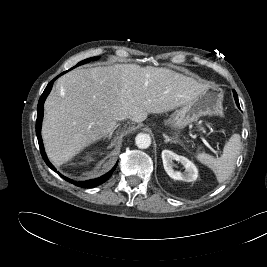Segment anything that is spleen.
<instances>
[{
  "label": "spleen",
  "instance_id": "1",
  "mask_svg": "<svg viewBox=\"0 0 267 267\" xmlns=\"http://www.w3.org/2000/svg\"><path fill=\"white\" fill-rule=\"evenodd\" d=\"M241 146L240 135L233 134L225 143L223 154L219 158H214L204 152L197 154L196 158L201 164L211 168L216 175L217 181L222 183L234 172Z\"/></svg>",
  "mask_w": 267,
  "mask_h": 267
}]
</instances>
